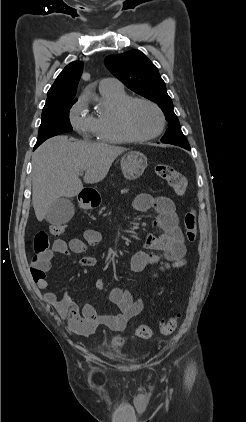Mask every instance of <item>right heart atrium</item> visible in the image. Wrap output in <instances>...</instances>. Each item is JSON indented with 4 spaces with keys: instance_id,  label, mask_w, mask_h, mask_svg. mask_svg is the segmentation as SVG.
<instances>
[{
    "instance_id": "d8ad5b80",
    "label": "right heart atrium",
    "mask_w": 246,
    "mask_h": 422,
    "mask_svg": "<svg viewBox=\"0 0 246 422\" xmlns=\"http://www.w3.org/2000/svg\"><path fill=\"white\" fill-rule=\"evenodd\" d=\"M69 120L80 135L90 137L95 135V119L87 112L86 103L79 98L71 107L69 112Z\"/></svg>"
}]
</instances>
